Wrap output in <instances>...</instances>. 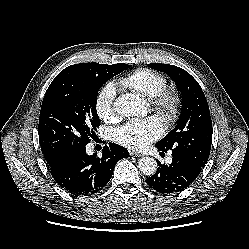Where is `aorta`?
Masks as SVG:
<instances>
[{"instance_id": "aorta-1", "label": "aorta", "mask_w": 249, "mask_h": 249, "mask_svg": "<svg viewBox=\"0 0 249 249\" xmlns=\"http://www.w3.org/2000/svg\"><path fill=\"white\" fill-rule=\"evenodd\" d=\"M114 110L125 117L138 116L144 112V105L138 95L127 93L115 100ZM157 167V161L153 157L145 156L138 162L139 170L146 176L154 175Z\"/></svg>"}]
</instances>
